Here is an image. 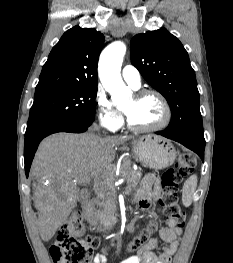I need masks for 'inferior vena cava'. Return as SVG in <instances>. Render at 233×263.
Listing matches in <instances>:
<instances>
[{
  "label": "inferior vena cava",
  "instance_id": "inferior-vena-cava-1",
  "mask_svg": "<svg viewBox=\"0 0 233 263\" xmlns=\"http://www.w3.org/2000/svg\"><path fill=\"white\" fill-rule=\"evenodd\" d=\"M101 184L100 181H96V185L99 186Z\"/></svg>",
  "mask_w": 233,
  "mask_h": 263
}]
</instances>
